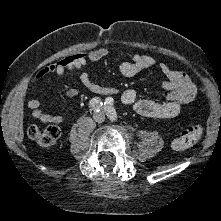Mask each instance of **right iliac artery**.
<instances>
[{
	"label": "right iliac artery",
	"mask_w": 221,
	"mask_h": 221,
	"mask_svg": "<svg viewBox=\"0 0 221 221\" xmlns=\"http://www.w3.org/2000/svg\"><path fill=\"white\" fill-rule=\"evenodd\" d=\"M89 106L93 111L99 112L102 109L103 103L100 98L94 97L90 100Z\"/></svg>",
	"instance_id": "1"
}]
</instances>
